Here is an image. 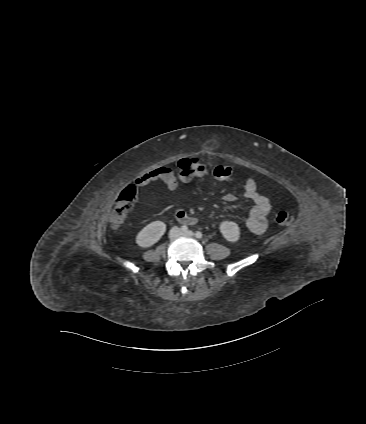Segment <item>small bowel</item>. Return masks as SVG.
<instances>
[{"label": "small bowel", "mask_w": 366, "mask_h": 424, "mask_svg": "<svg viewBox=\"0 0 366 424\" xmlns=\"http://www.w3.org/2000/svg\"><path fill=\"white\" fill-rule=\"evenodd\" d=\"M155 180H162L169 190L175 191L178 187L177 180L173 172L166 167H160L139 176L136 184L144 186ZM244 197L252 201L253 206L246 220V228L253 234L260 235L267 229V218L271 210L270 201L267 197L257 191V184L254 178H247L244 184ZM225 202H234L236 197L232 194H226L223 197ZM186 224H192L187 222Z\"/></svg>", "instance_id": "1"}]
</instances>
